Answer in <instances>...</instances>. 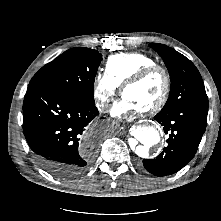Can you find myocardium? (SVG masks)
Listing matches in <instances>:
<instances>
[{"mask_svg":"<svg viewBox=\"0 0 221 221\" xmlns=\"http://www.w3.org/2000/svg\"><path fill=\"white\" fill-rule=\"evenodd\" d=\"M158 73L162 76L163 81H164L163 92L161 96L159 97V99L156 102H154L152 105H150L149 107L145 109L138 110L137 112L140 115L154 114L160 111L166 104L170 95V91H171V78H170L168 71L158 64L150 65V66L140 69L138 72L132 75L129 79H127L125 83L123 84L122 94L124 95L125 91L130 86H133L147 79L148 77H151L152 75L158 74Z\"/></svg>","mask_w":221,"mask_h":221,"instance_id":"myocardium-1","label":"myocardium"}]
</instances>
